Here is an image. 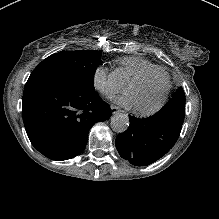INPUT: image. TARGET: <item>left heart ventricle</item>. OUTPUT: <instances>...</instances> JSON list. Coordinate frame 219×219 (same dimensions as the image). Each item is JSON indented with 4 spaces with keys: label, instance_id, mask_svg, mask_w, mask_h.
<instances>
[{
    "label": "left heart ventricle",
    "instance_id": "obj_1",
    "mask_svg": "<svg viewBox=\"0 0 219 219\" xmlns=\"http://www.w3.org/2000/svg\"><path fill=\"white\" fill-rule=\"evenodd\" d=\"M166 82L165 73L151 76L148 81L144 84L141 93V99L145 103H152L160 97L162 89Z\"/></svg>",
    "mask_w": 219,
    "mask_h": 219
}]
</instances>
